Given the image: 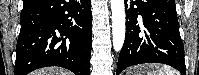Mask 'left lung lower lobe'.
<instances>
[{"label": "left lung lower lobe", "mask_w": 199, "mask_h": 75, "mask_svg": "<svg viewBox=\"0 0 199 75\" xmlns=\"http://www.w3.org/2000/svg\"><path fill=\"white\" fill-rule=\"evenodd\" d=\"M125 10L126 35L116 75L142 63L167 64L186 75L175 0H126Z\"/></svg>", "instance_id": "0a47b994"}]
</instances>
